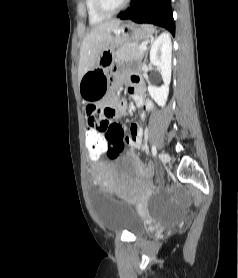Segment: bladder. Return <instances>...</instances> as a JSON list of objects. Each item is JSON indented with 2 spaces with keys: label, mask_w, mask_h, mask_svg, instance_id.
Returning a JSON list of instances; mask_svg holds the SVG:
<instances>
[{
  "label": "bladder",
  "mask_w": 238,
  "mask_h": 278,
  "mask_svg": "<svg viewBox=\"0 0 238 278\" xmlns=\"http://www.w3.org/2000/svg\"><path fill=\"white\" fill-rule=\"evenodd\" d=\"M93 206L97 219L102 228L110 233L128 232L141 236L147 231V223L141 218L134 206L117 204V198L98 192V187H93Z\"/></svg>",
  "instance_id": "bladder-1"
}]
</instances>
